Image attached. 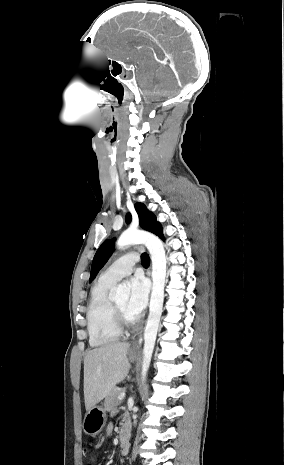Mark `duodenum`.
<instances>
[{
    "label": "duodenum",
    "instance_id": "1",
    "mask_svg": "<svg viewBox=\"0 0 284 465\" xmlns=\"http://www.w3.org/2000/svg\"><path fill=\"white\" fill-rule=\"evenodd\" d=\"M129 437V432L125 429H122L120 431V439H121V442L124 443L127 441V438Z\"/></svg>",
    "mask_w": 284,
    "mask_h": 465
}]
</instances>
